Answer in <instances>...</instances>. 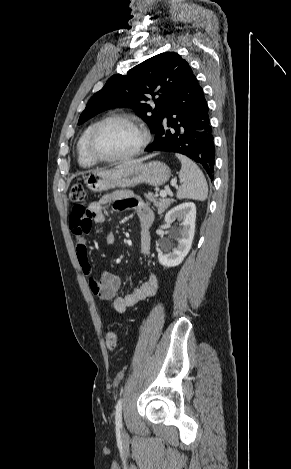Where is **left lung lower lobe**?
<instances>
[{
  "label": "left lung lower lobe",
  "mask_w": 291,
  "mask_h": 469,
  "mask_svg": "<svg viewBox=\"0 0 291 469\" xmlns=\"http://www.w3.org/2000/svg\"><path fill=\"white\" fill-rule=\"evenodd\" d=\"M146 151L183 154L199 163L213 179L215 145L203 90L191 71L168 103L164 120Z\"/></svg>",
  "instance_id": "1"
}]
</instances>
